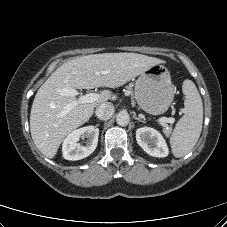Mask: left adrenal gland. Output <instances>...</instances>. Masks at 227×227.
I'll use <instances>...</instances> for the list:
<instances>
[{
  "mask_svg": "<svg viewBox=\"0 0 227 227\" xmlns=\"http://www.w3.org/2000/svg\"><path fill=\"white\" fill-rule=\"evenodd\" d=\"M133 118H134V119H136L137 121H140V122L145 123V121H144V120H142L141 118H139V117H137V116H135V115L133 116Z\"/></svg>",
  "mask_w": 227,
  "mask_h": 227,
  "instance_id": "a2214340",
  "label": "left adrenal gland"
}]
</instances>
